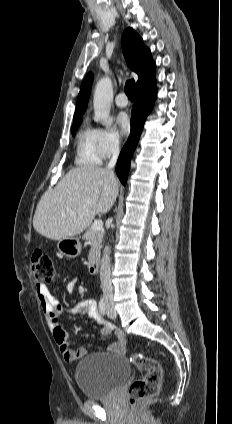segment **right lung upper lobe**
<instances>
[{"mask_svg":"<svg viewBox=\"0 0 232 424\" xmlns=\"http://www.w3.org/2000/svg\"><path fill=\"white\" fill-rule=\"evenodd\" d=\"M122 48L129 68L138 74L136 89L150 84L155 78V62L150 50L144 45L142 38L132 29L127 28L122 35ZM93 75L88 73L84 78L77 99L73 119H80L84 114L92 86Z\"/></svg>","mask_w":232,"mask_h":424,"instance_id":"cb5924a9","label":"right lung upper lobe"}]
</instances>
